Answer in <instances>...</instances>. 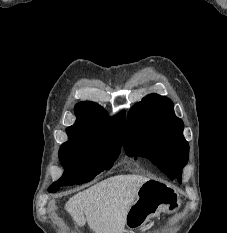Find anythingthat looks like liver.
Wrapping results in <instances>:
<instances>
[{
  "mask_svg": "<svg viewBox=\"0 0 227 233\" xmlns=\"http://www.w3.org/2000/svg\"><path fill=\"white\" fill-rule=\"evenodd\" d=\"M149 180L137 174L107 178L71 197L65 209L78 226L87 221L95 233H124L138 189Z\"/></svg>",
  "mask_w": 227,
  "mask_h": 233,
  "instance_id": "obj_1",
  "label": "liver"
}]
</instances>
